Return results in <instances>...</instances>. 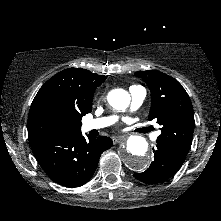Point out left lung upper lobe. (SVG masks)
Segmentation results:
<instances>
[{
  "label": "left lung upper lobe",
  "mask_w": 221,
  "mask_h": 221,
  "mask_svg": "<svg viewBox=\"0 0 221 221\" xmlns=\"http://www.w3.org/2000/svg\"><path fill=\"white\" fill-rule=\"evenodd\" d=\"M148 85L152 104L148 120L156 119L162 126L157 146L182 165L192 144L194 112L191 100L182 85L171 76L156 71L135 73Z\"/></svg>",
  "instance_id": "5c2ea615"
}]
</instances>
